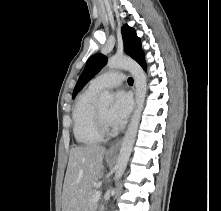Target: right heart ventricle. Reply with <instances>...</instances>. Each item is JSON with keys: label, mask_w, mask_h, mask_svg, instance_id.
Segmentation results:
<instances>
[{"label": "right heart ventricle", "mask_w": 221, "mask_h": 211, "mask_svg": "<svg viewBox=\"0 0 221 211\" xmlns=\"http://www.w3.org/2000/svg\"><path fill=\"white\" fill-rule=\"evenodd\" d=\"M100 89L89 85L77 97L73 109V133L81 145H95L102 140L95 119V97Z\"/></svg>", "instance_id": "obj_1"}]
</instances>
